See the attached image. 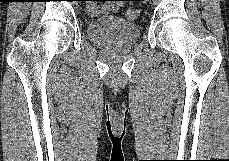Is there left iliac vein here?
Returning a JSON list of instances; mask_svg holds the SVG:
<instances>
[{
	"mask_svg": "<svg viewBox=\"0 0 229 161\" xmlns=\"http://www.w3.org/2000/svg\"><path fill=\"white\" fill-rule=\"evenodd\" d=\"M147 1H149V0H145L144 2H146V3H147Z\"/></svg>",
	"mask_w": 229,
	"mask_h": 161,
	"instance_id": "obj_1",
	"label": "left iliac vein"
}]
</instances>
